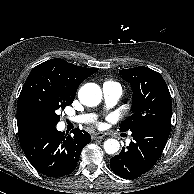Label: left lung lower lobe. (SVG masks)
<instances>
[{"instance_id":"0a47b994","label":"left lung lower lobe","mask_w":194,"mask_h":194,"mask_svg":"<svg viewBox=\"0 0 194 194\" xmlns=\"http://www.w3.org/2000/svg\"><path fill=\"white\" fill-rule=\"evenodd\" d=\"M170 128L171 122L133 127L134 141L110 159L113 172L126 179H134L148 172L161 156Z\"/></svg>"}]
</instances>
